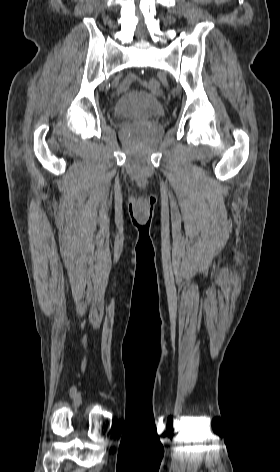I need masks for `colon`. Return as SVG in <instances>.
<instances>
[{"label": "colon", "instance_id": "obj_1", "mask_svg": "<svg viewBox=\"0 0 280 472\" xmlns=\"http://www.w3.org/2000/svg\"><path fill=\"white\" fill-rule=\"evenodd\" d=\"M149 89L154 93H160V85L157 80L152 79L148 82Z\"/></svg>", "mask_w": 280, "mask_h": 472}]
</instances>
